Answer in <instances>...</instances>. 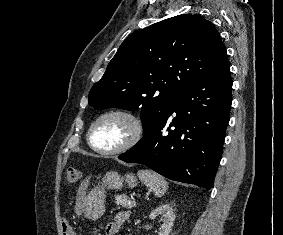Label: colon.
I'll list each match as a JSON object with an SVG mask.
<instances>
[{
	"label": "colon",
	"mask_w": 283,
	"mask_h": 235,
	"mask_svg": "<svg viewBox=\"0 0 283 235\" xmlns=\"http://www.w3.org/2000/svg\"><path fill=\"white\" fill-rule=\"evenodd\" d=\"M80 179V171L75 167H70L66 171V181L68 183H75ZM66 224V227L64 228V234L65 235H71L72 231L70 230L69 226Z\"/></svg>",
	"instance_id": "colon-1"
}]
</instances>
